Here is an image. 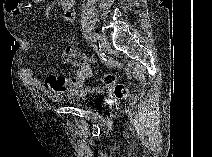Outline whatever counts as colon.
Returning <instances> with one entry per match:
<instances>
[{
	"label": "colon",
	"instance_id": "obj_1",
	"mask_svg": "<svg viewBox=\"0 0 212 157\" xmlns=\"http://www.w3.org/2000/svg\"><path fill=\"white\" fill-rule=\"evenodd\" d=\"M64 62L76 67L77 73L74 79L85 82L88 78V66L93 63V59L80 50L74 45H67L62 53ZM116 77L112 73H105L103 75V82L107 85L115 83ZM127 94V89L123 84H117L115 86V96L119 99L123 98Z\"/></svg>",
	"mask_w": 212,
	"mask_h": 157
}]
</instances>
